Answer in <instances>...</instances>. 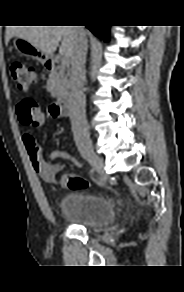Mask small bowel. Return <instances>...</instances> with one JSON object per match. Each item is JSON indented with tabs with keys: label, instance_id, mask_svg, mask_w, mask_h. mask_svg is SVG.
<instances>
[{
	"label": "small bowel",
	"instance_id": "c3829d8e",
	"mask_svg": "<svg viewBox=\"0 0 184 292\" xmlns=\"http://www.w3.org/2000/svg\"><path fill=\"white\" fill-rule=\"evenodd\" d=\"M22 141L29 156L31 166L35 173L47 183H57L58 174L64 169V165L61 163H55V160H65L74 163L77 167L81 166V163L74 158L70 153L63 150L52 151L48 159L43 156L42 147L35 139L33 133L30 130L25 131L22 134ZM65 175L62 177L60 183L63 186L65 184Z\"/></svg>",
	"mask_w": 184,
	"mask_h": 292
}]
</instances>
